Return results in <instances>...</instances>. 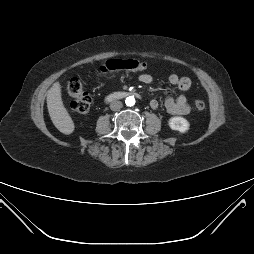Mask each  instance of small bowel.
I'll list each match as a JSON object with an SVG mask.
<instances>
[{
    "mask_svg": "<svg viewBox=\"0 0 254 254\" xmlns=\"http://www.w3.org/2000/svg\"><path fill=\"white\" fill-rule=\"evenodd\" d=\"M139 80L144 84H149L153 81V75L148 72H144L139 76ZM168 82L171 85L177 86L179 90L185 92L191 87V80L188 77H180L176 74H171L168 77ZM152 109H157L159 102L157 99L150 101ZM166 110L173 115H186L190 112V106L187 101V97L184 94H179L177 97L171 95L165 99Z\"/></svg>",
    "mask_w": 254,
    "mask_h": 254,
    "instance_id": "1",
    "label": "small bowel"
}]
</instances>
